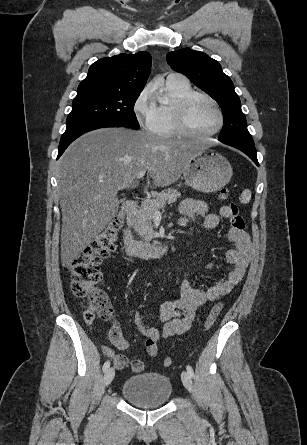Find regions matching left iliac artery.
I'll list each match as a JSON object with an SVG mask.
<instances>
[{"instance_id":"1","label":"left iliac artery","mask_w":307,"mask_h":445,"mask_svg":"<svg viewBox=\"0 0 307 445\" xmlns=\"http://www.w3.org/2000/svg\"><path fill=\"white\" fill-rule=\"evenodd\" d=\"M186 369H187V372L189 373V375H190L191 377H194V371H193V368H192L190 365H187Z\"/></svg>"}]
</instances>
